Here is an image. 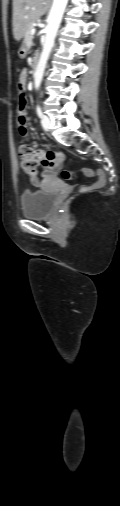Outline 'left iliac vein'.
Listing matches in <instances>:
<instances>
[{
	"mask_svg": "<svg viewBox=\"0 0 120 506\" xmlns=\"http://www.w3.org/2000/svg\"><path fill=\"white\" fill-rule=\"evenodd\" d=\"M41 123H42V127L45 129V130H49L50 128V125H51V121H50V118L48 116H43L42 117V120H41Z\"/></svg>",
	"mask_w": 120,
	"mask_h": 506,
	"instance_id": "4c4485c4",
	"label": "left iliac vein"
}]
</instances>
